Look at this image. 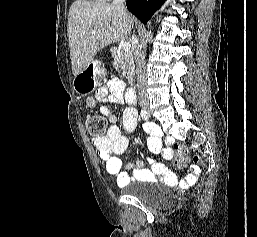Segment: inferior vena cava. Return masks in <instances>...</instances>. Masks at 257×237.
<instances>
[{"mask_svg": "<svg viewBox=\"0 0 257 237\" xmlns=\"http://www.w3.org/2000/svg\"><path fill=\"white\" fill-rule=\"evenodd\" d=\"M125 0H113V5L125 9L124 5ZM133 42H135L134 46V56H135V62H136V78H137V87L139 90V101L140 104H145L148 102L149 97L146 92V67H145V54L142 51L141 46L138 43L137 38L133 35L132 36Z\"/></svg>", "mask_w": 257, "mask_h": 237, "instance_id": "inferior-vena-cava-1", "label": "inferior vena cava"}]
</instances>
